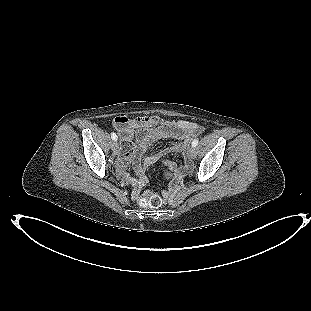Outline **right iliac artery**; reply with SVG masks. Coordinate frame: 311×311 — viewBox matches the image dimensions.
<instances>
[{
	"mask_svg": "<svg viewBox=\"0 0 311 311\" xmlns=\"http://www.w3.org/2000/svg\"><path fill=\"white\" fill-rule=\"evenodd\" d=\"M111 138L116 141L117 140V135L113 132V133H111Z\"/></svg>",
	"mask_w": 311,
	"mask_h": 311,
	"instance_id": "1",
	"label": "right iliac artery"
}]
</instances>
